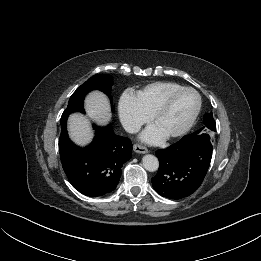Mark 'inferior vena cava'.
<instances>
[{"label": "inferior vena cava", "mask_w": 261, "mask_h": 261, "mask_svg": "<svg viewBox=\"0 0 261 261\" xmlns=\"http://www.w3.org/2000/svg\"><path fill=\"white\" fill-rule=\"evenodd\" d=\"M123 127L129 133H137L141 128L140 125L135 123H125Z\"/></svg>", "instance_id": "obj_1"}]
</instances>
